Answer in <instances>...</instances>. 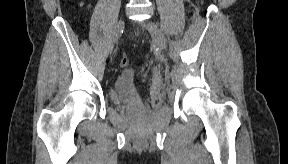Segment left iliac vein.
<instances>
[{
    "label": "left iliac vein",
    "instance_id": "1",
    "mask_svg": "<svg viewBox=\"0 0 288 164\" xmlns=\"http://www.w3.org/2000/svg\"><path fill=\"white\" fill-rule=\"evenodd\" d=\"M145 26L151 34L152 40L159 50H163L166 47V39L164 33L159 26L152 20L145 21Z\"/></svg>",
    "mask_w": 288,
    "mask_h": 164
}]
</instances>
